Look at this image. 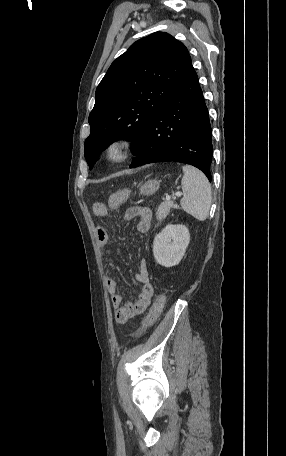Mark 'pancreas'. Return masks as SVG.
Listing matches in <instances>:
<instances>
[{"instance_id": "pancreas-1", "label": "pancreas", "mask_w": 286, "mask_h": 456, "mask_svg": "<svg viewBox=\"0 0 286 456\" xmlns=\"http://www.w3.org/2000/svg\"><path fill=\"white\" fill-rule=\"evenodd\" d=\"M175 208L178 209L179 206L177 204H174L172 201H164L161 203L156 211V218L158 220H163L167 217V215L170 212V209Z\"/></svg>"}]
</instances>
